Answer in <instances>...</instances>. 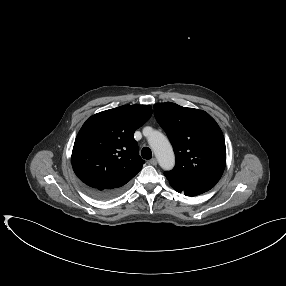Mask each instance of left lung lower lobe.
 Wrapping results in <instances>:
<instances>
[{
  "mask_svg": "<svg viewBox=\"0 0 286 286\" xmlns=\"http://www.w3.org/2000/svg\"><path fill=\"white\" fill-rule=\"evenodd\" d=\"M177 192L181 193L183 192L185 195L187 196H196V195H199V194H202V192H198V191H194V190H185V189H182L176 185H173V184H170Z\"/></svg>",
  "mask_w": 286,
  "mask_h": 286,
  "instance_id": "obj_1",
  "label": "left lung lower lobe"
}]
</instances>
